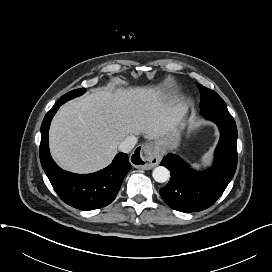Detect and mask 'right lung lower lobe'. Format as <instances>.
<instances>
[{
    "label": "right lung lower lobe",
    "instance_id": "1",
    "mask_svg": "<svg viewBox=\"0 0 272 272\" xmlns=\"http://www.w3.org/2000/svg\"><path fill=\"white\" fill-rule=\"evenodd\" d=\"M61 105L56 103L48 111L41 125L42 168L54 190L66 204L80 210L107 206L116 198L125 175L132 167L128 156L119 153L108 167L92 174L79 175L59 168L49 152L48 132L51 120Z\"/></svg>",
    "mask_w": 272,
    "mask_h": 272
}]
</instances>
